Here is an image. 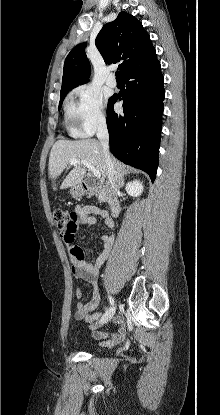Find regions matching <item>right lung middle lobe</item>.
<instances>
[{"mask_svg": "<svg viewBox=\"0 0 220 415\" xmlns=\"http://www.w3.org/2000/svg\"><path fill=\"white\" fill-rule=\"evenodd\" d=\"M66 94H67V92H64V93H61V94H60L59 109L61 108V105H62L63 99H64V97H65V95H66Z\"/></svg>", "mask_w": 220, "mask_h": 415, "instance_id": "1", "label": "right lung middle lobe"}]
</instances>
